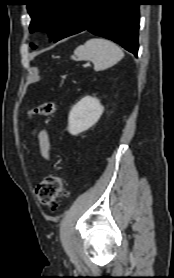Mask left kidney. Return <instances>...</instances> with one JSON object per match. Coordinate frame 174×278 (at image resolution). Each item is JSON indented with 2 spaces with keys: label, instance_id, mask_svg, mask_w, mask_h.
<instances>
[{
  "label": "left kidney",
  "instance_id": "obj_1",
  "mask_svg": "<svg viewBox=\"0 0 174 278\" xmlns=\"http://www.w3.org/2000/svg\"><path fill=\"white\" fill-rule=\"evenodd\" d=\"M104 107L95 97L86 96L74 105L69 113L68 131L78 135L97 123Z\"/></svg>",
  "mask_w": 174,
  "mask_h": 278
}]
</instances>
